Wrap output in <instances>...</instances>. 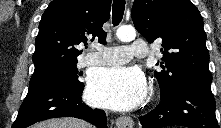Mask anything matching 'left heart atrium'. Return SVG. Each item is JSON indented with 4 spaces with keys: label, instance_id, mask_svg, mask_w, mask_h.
<instances>
[{
    "label": "left heart atrium",
    "instance_id": "1",
    "mask_svg": "<svg viewBox=\"0 0 221 128\" xmlns=\"http://www.w3.org/2000/svg\"><path fill=\"white\" fill-rule=\"evenodd\" d=\"M145 94L144 77L139 71L127 67L99 69L91 75L87 87L90 102L119 111L136 108Z\"/></svg>",
    "mask_w": 221,
    "mask_h": 128
}]
</instances>
